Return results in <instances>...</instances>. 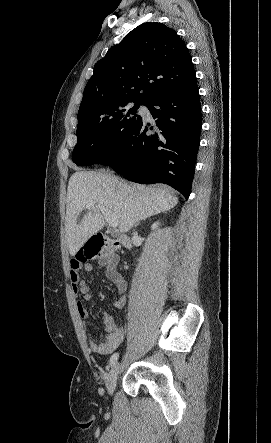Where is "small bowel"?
<instances>
[{
  "instance_id": "1",
  "label": "small bowel",
  "mask_w": 271,
  "mask_h": 443,
  "mask_svg": "<svg viewBox=\"0 0 271 443\" xmlns=\"http://www.w3.org/2000/svg\"><path fill=\"white\" fill-rule=\"evenodd\" d=\"M106 276L114 283L117 290V298L114 302V307L121 308L126 302V281L123 276L115 269L113 262L105 264ZM83 269L86 273L93 270L90 263L82 264L75 259L70 262V280L74 292L76 293V304L78 315L82 320H87L89 317L88 310L83 304V299L86 301L92 300L90 289L85 280L79 276V270ZM102 337L99 340L94 338L89 339V346L93 352L107 355L118 349L125 339V327L118 325L115 318L108 312L104 314L101 326Z\"/></svg>"
}]
</instances>
